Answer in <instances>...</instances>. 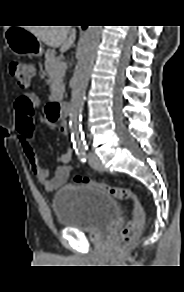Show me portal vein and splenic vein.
<instances>
[{"label":"portal vein and splenic vein","mask_w":184,"mask_h":292,"mask_svg":"<svg viewBox=\"0 0 184 292\" xmlns=\"http://www.w3.org/2000/svg\"><path fill=\"white\" fill-rule=\"evenodd\" d=\"M61 68H63V69H66L67 68V65H66L65 62L62 63Z\"/></svg>","instance_id":"obj_1"}]
</instances>
